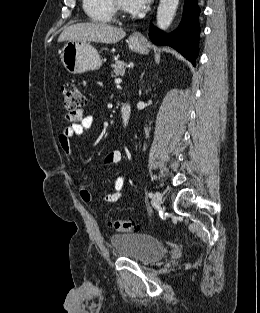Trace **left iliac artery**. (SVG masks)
Wrapping results in <instances>:
<instances>
[{
  "label": "left iliac artery",
  "mask_w": 260,
  "mask_h": 313,
  "mask_svg": "<svg viewBox=\"0 0 260 313\" xmlns=\"http://www.w3.org/2000/svg\"><path fill=\"white\" fill-rule=\"evenodd\" d=\"M148 196L151 198V197H153V193L152 192H149L148 193Z\"/></svg>",
  "instance_id": "44dca946"
}]
</instances>
